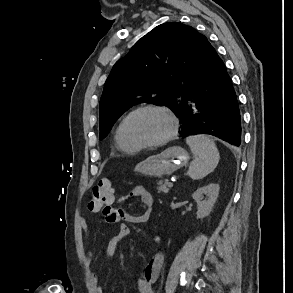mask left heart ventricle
Returning <instances> with one entry per match:
<instances>
[{
	"label": "left heart ventricle",
	"instance_id": "1",
	"mask_svg": "<svg viewBox=\"0 0 293 293\" xmlns=\"http://www.w3.org/2000/svg\"><path fill=\"white\" fill-rule=\"evenodd\" d=\"M170 128L168 119L156 111H142L132 117L128 132L137 143L154 142L167 134Z\"/></svg>",
	"mask_w": 293,
	"mask_h": 293
}]
</instances>
